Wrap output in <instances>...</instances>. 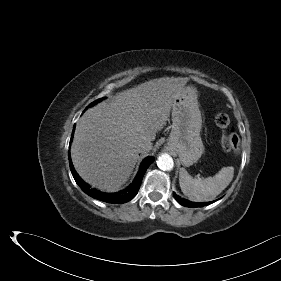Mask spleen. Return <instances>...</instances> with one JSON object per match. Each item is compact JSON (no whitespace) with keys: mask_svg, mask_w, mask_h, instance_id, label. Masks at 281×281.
Segmentation results:
<instances>
[{"mask_svg":"<svg viewBox=\"0 0 281 281\" xmlns=\"http://www.w3.org/2000/svg\"><path fill=\"white\" fill-rule=\"evenodd\" d=\"M234 168L223 167L215 176L207 178H193L181 168L179 184L181 191L195 202L211 201L218 196L232 181Z\"/></svg>","mask_w":281,"mask_h":281,"instance_id":"obj_1","label":"spleen"}]
</instances>
